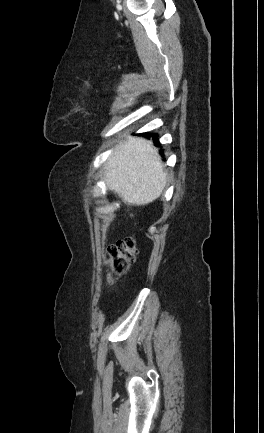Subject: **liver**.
<instances>
[{
  "mask_svg": "<svg viewBox=\"0 0 264 433\" xmlns=\"http://www.w3.org/2000/svg\"><path fill=\"white\" fill-rule=\"evenodd\" d=\"M166 176L158 149L143 138L124 142L105 163L108 188L129 205L144 206L156 200L165 188Z\"/></svg>",
  "mask_w": 264,
  "mask_h": 433,
  "instance_id": "obj_1",
  "label": "liver"
}]
</instances>
